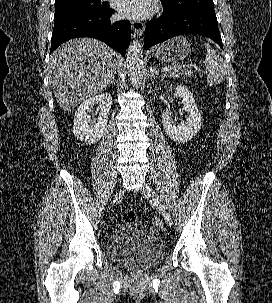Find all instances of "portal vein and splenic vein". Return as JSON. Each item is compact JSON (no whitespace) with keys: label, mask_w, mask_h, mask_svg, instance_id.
Listing matches in <instances>:
<instances>
[{"label":"portal vein and splenic vein","mask_w":272,"mask_h":303,"mask_svg":"<svg viewBox=\"0 0 272 303\" xmlns=\"http://www.w3.org/2000/svg\"><path fill=\"white\" fill-rule=\"evenodd\" d=\"M183 67L185 68V67H187V66L183 65ZM168 70H169L168 67H165V68L162 69L163 72H167Z\"/></svg>","instance_id":"18ae733b"}]
</instances>
